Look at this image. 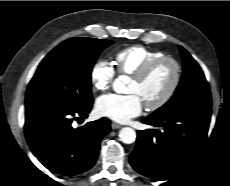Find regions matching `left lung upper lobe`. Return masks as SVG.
<instances>
[{
  "instance_id": "5c2ea615",
  "label": "left lung upper lobe",
  "mask_w": 230,
  "mask_h": 186,
  "mask_svg": "<svg viewBox=\"0 0 230 186\" xmlns=\"http://www.w3.org/2000/svg\"><path fill=\"white\" fill-rule=\"evenodd\" d=\"M183 75L172 98L150 116L161 117L190 109L211 108V95L208 83L198 63L181 46Z\"/></svg>"
}]
</instances>
